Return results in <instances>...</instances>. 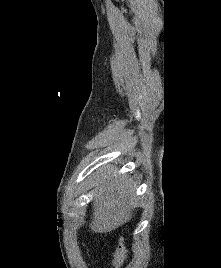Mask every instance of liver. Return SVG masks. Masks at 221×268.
<instances>
[{
	"label": "liver",
	"instance_id": "liver-1",
	"mask_svg": "<svg viewBox=\"0 0 221 268\" xmlns=\"http://www.w3.org/2000/svg\"><path fill=\"white\" fill-rule=\"evenodd\" d=\"M93 186V231L110 232L132 218L136 187L131 178L115 176L110 168H101Z\"/></svg>",
	"mask_w": 221,
	"mask_h": 268
}]
</instances>
